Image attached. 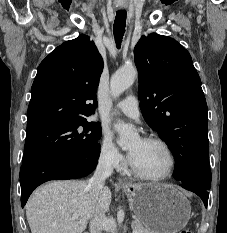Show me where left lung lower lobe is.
<instances>
[{
    "mask_svg": "<svg viewBox=\"0 0 227 233\" xmlns=\"http://www.w3.org/2000/svg\"><path fill=\"white\" fill-rule=\"evenodd\" d=\"M181 186L187 190L196 193L203 200L205 206L207 207L208 198H209V192L207 189H202L199 186L193 184H186V183H181Z\"/></svg>",
    "mask_w": 227,
    "mask_h": 233,
    "instance_id": "0a47b994",
    "label": "left lung lower lobe"
}]
</instances>
